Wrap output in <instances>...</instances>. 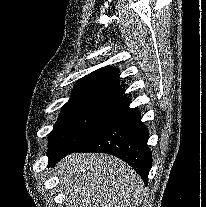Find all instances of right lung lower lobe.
<instances>
[{
	"instance_id": "98d812e1",
	"label": "right lung lower lobe",
	"mask_w": 206,
	"mask_h": 207,
	"mask_svg": "<svg viewBox=\"0 0 206 207\" xmlns=\"http://www.w3.org/2000/svg\"><path fill=\"white\" fill-rule=\"evenodd\" d=\"M148 137V129L140 121V112L128 106L123 114L79 146L48 153V166L72 152L108 153L133 167L147 185L152 166Z\"/></svg>"
}]
</instances>
